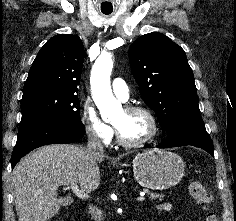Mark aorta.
Listing matches in <instances>:
<instances>
[{
  "mask_svg": "<svg viewBox=\"0 0 236 221\" xmlns=\"http://www.w3.org/2000/svg\"><path fill=\"white\" fill-rule=\"evenodd\" d=\"M113 68L109 53L101 54L96 60L91 73V89L97 107L103 118L112 119L123 113L120 101L113 96L110 86V75ZM101 79H98V72Z\"/></svg>",
  "mask_w": 236,
  "mask_h": 221,
  "instance_id": "1",
  "label": "aorta"
}]
</instances>
